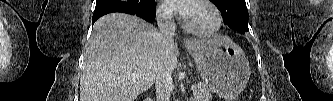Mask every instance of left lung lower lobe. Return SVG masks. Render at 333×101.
<instances>
[{
	"label": "left lung lower lobe",
	"mask_w": 333,
	"mask_h": 101,
	"mask_svg": "<svg viewBox=\"0 0 333 101\" xmlns=\"http://www.w3.org/2000/svg\"><path fill=\"white\" fill-rule=\"evenodd\" d=\"M244 1H245V0H244ZM245 4H246V3H245ZM247 31H249V30H246V31L244 30V31H242V33H245V32H247Z\"/></svg>",
	"instance_id": "left-lung-lower-lobe-1"
}]
</instances>
